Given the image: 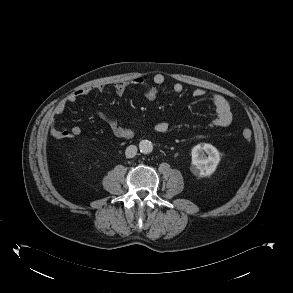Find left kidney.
Here are the masks:
<instances>
[{
    "mask_svg": "<svg viewBox=\"0 0 293 293\" xmlns=\"http://www.w3.org/2000/svg\"><path fill=\"white\" fill-rule=\"evenodd\" d=\"M191 156L192 172L196 176H210L214 173L220 162V153L218 150L213 145L207 143L194 146L191 151Z\"/></svg>",
    "mask_w": 293,
    "mask_h": 293,
    "instance_id": "obj_1",
    "label": "left kidney"
}]
</instances>
